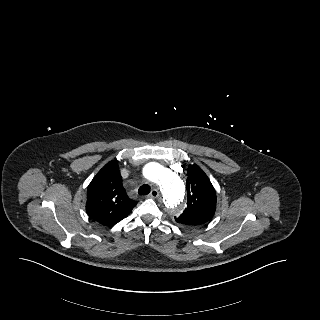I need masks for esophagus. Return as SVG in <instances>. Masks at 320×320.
Wrapping results in <instances>:
<instances>
[{"instance_id": "34e87169", "label": "esophagus", "mask_w": 320, "mask_h": 320, "mask_svg": "<svg viewBox=\"0 0 320 320\" xmlns=\"http://www.w3.org/2000/svg\"><path fill=\"white\" fill-rule=\"evenodd\" d=\"M160 192L157 189H152L148 197L150 198H157L159 196Z\"/></svg>"}]
</instances>
